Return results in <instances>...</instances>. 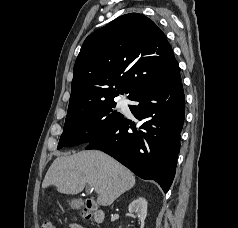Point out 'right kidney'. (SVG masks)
Instances as JSON below:
<instances>
[{"label": "right kidney", "instance_id": "1", "mask_svg": "<svg viewBox=\"0 0 238 228\" xmlns=\"http://www.w3.org/2000/svg\"><path fill=\"white\" fill-rule=\"evenodd\" d=\"M147 204L148 203L145 198L139 197L132 201V203H130L128 207L130 213H136V215L138 216L141 222L140 228H144L145 225V219L147 216Z\"/></svg>", "mask_w": 238, "mask_h": 228}]
</instances>
